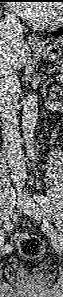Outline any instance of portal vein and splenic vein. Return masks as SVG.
Wrapping results in <instances>:
<instances>
[{"label":"portal vein and splenic vein","instance_id":"18ae733b","mask_svg":"<svg viewBox=\"0 0 63 297\" xmlns=\"http://www.w3.org/2000/svg\"><path fill=\"white\" fill-rule=\"evenodd\" d=\"M56 79L57 80H60V81H63V76L62 75H59V76L56 77Z\"/></svg>","mask_w":63,"mask_h":297}]
</instances>
